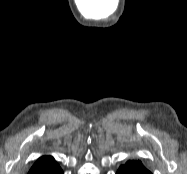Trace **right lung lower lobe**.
I'll return each mask as SVG.
<instances>
[{
    "label": "right lung lower lobe",
    "mask_w": 187,
    "mask_h": 174,
    "mask_svg": "<svg viewBox=\"0 0 187 174\" xmlns=\"http://www.w3.org/2000/svg\"><path fill=\"white\" fill-rule=\"evenodd\" d=\"M54 174H63V172H62V170L60 169L59 172H56V173H54Z\"/></svg>",
    "instance_id": "obj_1"
}]
</instances>
